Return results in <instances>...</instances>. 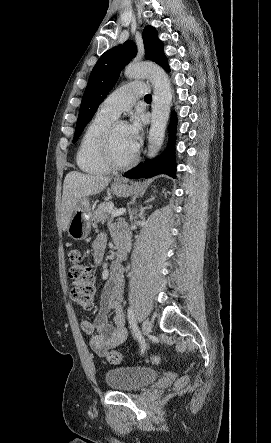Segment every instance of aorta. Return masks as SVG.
<instances>
[{"mask_svg":"<svg viewBox=\"0 0 271 443\" xmlns=\"http://www.w3.org/2000/svg\"><path fill=\"white\" fill-rule=\"evenodd\" d=\"M124 74L126 78H148L153 86L154 96L147 152L151 160L157 156L164 142L172 102L171 82L163 68L149 62L129 64Z\"/></svg>","mask_w":271,"mask_h":443,"instance_id":"1","label":"aorta"}]
</instances>
